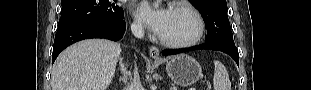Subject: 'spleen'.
Returning a JSON list of instances; mask_svg holds the SVG:
<instances>
[{
  "label": "spleen",
  "instance_id": "3e777b00",
  "mask_svg": "<svg viewBox=\"0 0 311 90\" xmlns=\"http://www.w3.org/2000/svg\"><path fill=\"white\" fill-rule=\"evenodd\" d=\"M214 66V90H231V82L225 66L217 60L214 61Z\"/></svg>",
  "mask_w": 311,
  "mask_h": 90
}]
</instances>
